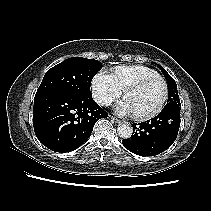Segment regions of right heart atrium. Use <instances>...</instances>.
<instances>
[{
    "label": "right heart atrium",
    "instance_id": "obj_1",
    "mask_svg": "<svg viewBox=\"0 0 211 211\" xmlns=\"http://www.w3.org/2000/svg\"><path fill=\"white\" fill-rule=\"evenodd\" d=\"M91 92L99 105L109 106L120 98L123 91L111 73L100 70L92 78Z\"/></svg>",
    "mask_w": 211,
    "mask_h": 211
}]
</instances>
